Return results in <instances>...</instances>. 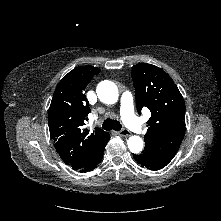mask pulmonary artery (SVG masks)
Listing matches in <instances>:
<instances>
[{
    "mask_svg": "<svg viewBox=\"0 0 221 221\" xmlns=\"http://www.w3.org/2000/svg\"><path fill=\"white\" fill-rule=\"evenodd\" d=\"M121 116L125 124L134 132L141 133L142 126L134 114L133 98L130 93L125 92L120 99Z\"/></svg>",
    "mask_w": 221,
    "mask_h": 221,
    "instance_id": "e3ab8cb5",
    "label": "pulmonary artery"
}]
</instances>
